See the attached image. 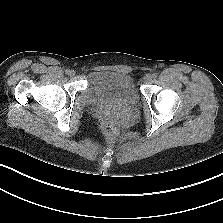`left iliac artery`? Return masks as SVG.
Masks as SVG:
<instances>
[{
  "instance_id": "left-iliac-artery-1",
  "label": "left iliac artery",
  "mask_w": 223,
  "mask_h": 223,
  "mask_svg": "<svg viewBox=\"0 0 223 223\" xmlns=\"http://www.w3.org/2000/svg\"><path fill=\"white\" fill-rule=\"evenodd\" d=\"M152 76H153V78H156L158 76V74L157 73H153Z\"/></svg>"
}]
</instances>
